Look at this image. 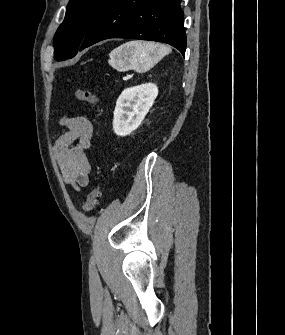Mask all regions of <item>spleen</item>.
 I'll return each mask as SVG.
<instances>
[{
	"mask_svg": "<svg viewBox=\"0 0 285 335\" xmlns=\"http://www.w3.org/2000/svg\"><path fill=\"white\" fill-rule=\"evenodd\" d=\"M171 48L164 44H155V42H127L122 44L110 54L114 68H133L135 70H150L154 64L160 62L164 56L171 54Z\"/></svg>",
	"mask_w": 285,
	"mask_h": 335,
	"instance_id": "1",
	"label": "spleen"
}]
</instances>
